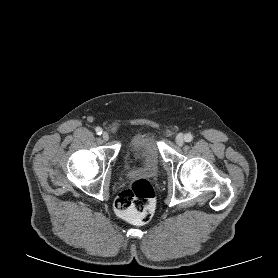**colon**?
<instances>
[{"label":"colon","instance_id":"obj_1","mask_svg":"<svg viewBox=\"0 0 278 278\" xmlns=\"http://www.w3.org/2000/svg\"><path fill=\"white\" fill-rule=\"evenodd\" d=\"M117 215L136 224L149 221L155 207V192L151 183L139 178L131 181L114 203Z\"/></svg>","mask_w":278,"mask_h":278}]
</instances>
